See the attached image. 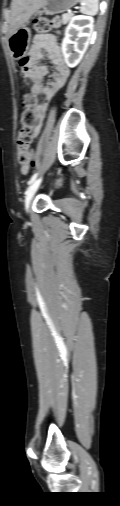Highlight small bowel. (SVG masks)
I'll use <instances>...</instances> for the list:
<instances>
[{
	"label": "small bowel",
	"mask_w": 120,
	"mask_h": 506,
	"mask_svg": "<svg viewBox=\"0 0 120 506\" xmlns=\"http://www.w3.org/2000/svg\"><path fill=\"white\" fill-rule=\"evenodd\" d=\"M44 55L55 65L52 80L47 85L43 84V79L49 69L48 66L41 63ZM24 70L31 76L32 93L44 96V102L36 104L34 107L37 121L33 127V135L38 136L45 118L48 103L54 94L64 86L70 74V70L64 63L62 52L57 41L53 37L44 35H38L34 38Z\"/></svg>",
	"instance_id": "1"
}]
</instances>
